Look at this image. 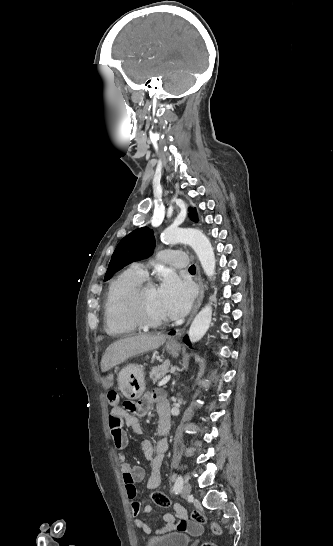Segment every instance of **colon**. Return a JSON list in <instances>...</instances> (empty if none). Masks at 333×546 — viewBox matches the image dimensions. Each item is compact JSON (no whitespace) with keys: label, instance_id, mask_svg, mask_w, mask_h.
Wrapping results in <instances>:
<instances>
[{"label":"colon","instance_id":"5ec220e1","mask_svg":"<svg viewBox=\"0 0 333 546\" xmlns=\"http://www.w3.org/2000/svg\"><path fill=\"white\" fill-rule=\"evenodd\" d=\"M108 399H109L110 404L115 405L119 400V396H118L117 392L110 391L108 393ZM126 406L131 408L133 406V404L129 402V403H127ZM151 499H152L153 503L159 508H169L171 506L170 498L168 497V495H166L163 492H160V491L153 492L151 494ZM191 519H192L193 523H198V524H202V523H205L207 521L206 515L202 511H200L198 509H195L192 512ZM213 529L217 533L220 531L219 526L217 524H215V523L213 524Z\"/></svg>","mask_w":333,"mask_h":546}]
</instances>
